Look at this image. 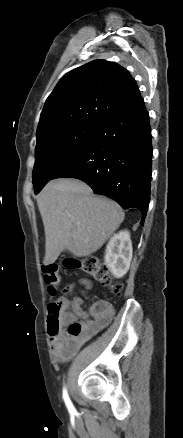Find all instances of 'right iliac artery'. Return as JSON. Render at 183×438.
Wrapping results in <instances>:
<instances>
[{"mask_svg":"<svg viewBox=\"0 0 183 438\" xmlns=\"http://www.w3.org/2000/svg\"><path fill=\"white\" fill-rule=\"evenodd\" d=\"M63 399L65 401V404H66L68 410L70 412L74 411L75 410L74 406H73V404H72V402H71V400H70V398L68 396L67 390L65 388L63 389Z\"/></svg>","mask_w":183,"mask_h":438,"instance_id":"1","label":"right iliac artery"}]
</instances>
